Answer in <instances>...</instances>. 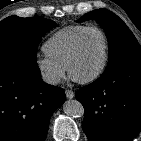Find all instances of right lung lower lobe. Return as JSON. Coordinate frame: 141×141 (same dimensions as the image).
Here are the masks:
<instances>
[{
	"label": "right lung lower lobe",
	"instance_id": "1",
	"mask_svg": "<svg viewBox=\"0 0 141 141\" xmlns=\"http://www.w3.org/2000/svg\"><path fill=\"white\" fill-rule=\"evenodd\" d=\"M64 90L46 84L36 64L0 63V141H44Z\"/></svg>",
	"mask_w": 141,
	"mask_h": 141
}]
</instances>
